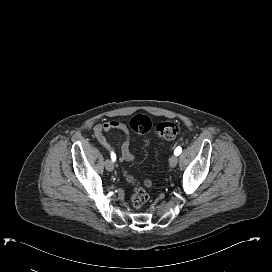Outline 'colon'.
<instances>
[{
  "label": "colon",
  "mask_w": 272,
  "mask_h": 272,
  "mask_svg": "<svg viewBox=\"0 0 272 272\" xmlns=\"http://www.w3.org/2000/svg\"><path fill=\"white\" fill-rule=\"evenodd\" d=\"M130 127L137 134H145L152 128V121L149 117L145 115H136L130 120ZM155 131L160 139L171 140L179 134L180 126L175 121H161L156 124ZM125 176L131 182L146 187H149L152 184L150 179H143L141 181H138L127 173H125ZM140 185L134 187L133 195L131 197V203L133 207L137 209L142 208L149 199L148 193Z\"/></svg>",
  "instance_id": "colon-1"
}]
</instances>
